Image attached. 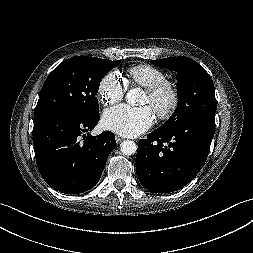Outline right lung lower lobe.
<instances>
[{
	"label": "right lung lower lobe",
	"mask_w": 253,
	"mask_h": 253,
	"mask_svg": "<svg viewBox=\"0 0 253 253\" xmlns=\"http://www.w3.org/2000/svg\"><path fill=\"white\" fill-rule=\"evenodd\" d=\"M99 118V114L77 118L53 112L34 117L37 166L43 179L55 190L83 193L99 181L107 157L116 146L115 135L110 131L97 136L88 133Z\"/></svg>",
	"instance_id": "right-lung-lower-lobe-1"
}]
</instances>
